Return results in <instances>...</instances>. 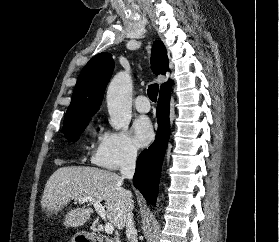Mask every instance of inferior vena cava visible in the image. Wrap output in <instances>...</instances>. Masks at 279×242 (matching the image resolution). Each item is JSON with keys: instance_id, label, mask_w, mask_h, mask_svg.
<instances>
[{"instance_id": "602c4592", "label": "inferior vena cava", "mask_w": 279, "mask_h": 242, "mask_svg": "<svg viewBox=\"0 0 279 242\" xmlns=\"http://www.w3.org/2000/svg\"><path fill=\"white\" fill-rule=\"evenodd\" d=\"M137 157V149L130 148L124 158L123 163L121 164L120 172L123 178L132 179L135 172V164ZM126 236L129 242H138L137 241V230L133 221L132 210L128 212L126 219Z\"/></svg>"}]
</instances>
